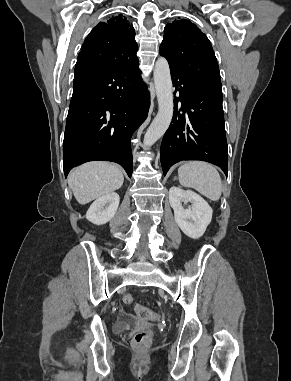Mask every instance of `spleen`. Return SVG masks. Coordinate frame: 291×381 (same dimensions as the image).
<instances>
[{
	"mask_svg": "<svg viewBox=\"0 0 291 381\" xmlns=\"http://www.w3.org/2000/svg\"><path fill=\"white\" fill-rule=\"evenodd\" d=\"M179 182L184 187L197 190L212 201L220 199L221 177L211 164L203 161H189L178 169Z\"/></svg>",
	"mask_w": 291,
	"mask_h": 381,
	"instance_id": "obj_1",
	"label": "spleen"
}]
</instances>
